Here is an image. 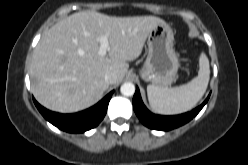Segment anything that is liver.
Returning <instances> with one entry per match:
<instances>
[{"instance_id":"liver-1","label":"liver","mask_w":248,"mask_h":165,"mask_svg":"<svg viewBox=\"0 0 248 165\" xmlns=\"http://www.w3.org/2000/svg\"><path fill=\"white\" fill-rule=\"evenodd\" d=\"M164 20L154 16L112 17L95 11L74 13L47 30L30 64L31 92L47 109L74 113L96 104L109 84L108 72L123 80L128 61L142 52L149 32ZM109 50L99 55L98 38Z\"/></svg>"}]
</instances>
